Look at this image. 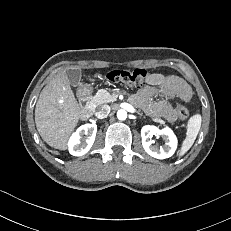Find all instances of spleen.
<instances>
[{"instance_id": "obj_1", "label": "spleen", "mask_w": 231, "mask_h": 231, "mask_svg": "<svg viewBox=\"0 0 231 231\" xmlns=\"http://www.w3.org/2000/svg\"><path fill=\"white\" fill-rule=\"evenodd\" d=\"M202 117L200 114L193 115L187 124L186 137L182 143L179 156L184 155L194 144L201 127Z\"/></svg>"}]
</instances>
